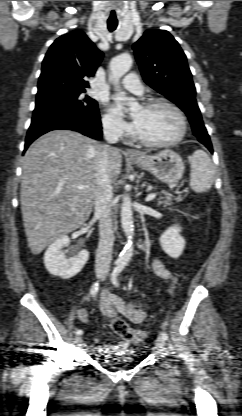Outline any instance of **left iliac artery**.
<instances>
[{
    "mask_svg": "<svg viewBox=\"0 0 242 416\" xmlns=\"http://www.w3.org/2000/svg\"><path fill=\"white\" fill-rule=\"evenodd\" d=\"M125 267L124 264H119L117 265V267L113 270L112 274H111V281L114 285L118 286V281H117V277L119 275V273L123 270V268ZM160 335L162 336V338L164 340L168 339V334L166 332H161Z\"/></svg>",
    "mask_w": 242,
    "mask_h": 416,
    "instance_id": "left-iliac-artery-1",
    "label": "left iliac artery"
}]
</instances>
